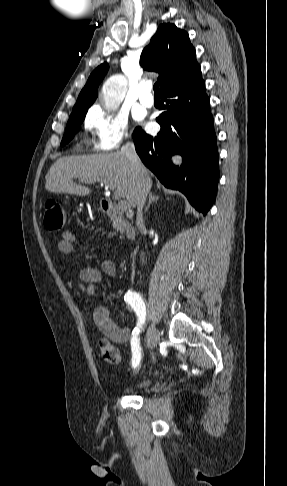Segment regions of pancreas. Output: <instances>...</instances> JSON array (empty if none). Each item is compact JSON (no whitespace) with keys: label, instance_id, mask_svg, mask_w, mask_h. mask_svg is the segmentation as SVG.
I'll use <instances>...</instances> for the list:
<instances>
[{"label":"pancreas","instance_id":"obj_1","mask_svg":"<svg viewBox=\"0 0 287 486\" xmlns=\"http://www.w3.org/2000/svg\"><path fill=\"white\" fill-rule=\"evenodd\" d=\"M113 226H114V228H116L118 231H120V232H122V231H123V229H122V227H121V225H120L119 223H114V225H113Z\"/></svg>","mask_w":287,"mask_h":486}]
</instances>
